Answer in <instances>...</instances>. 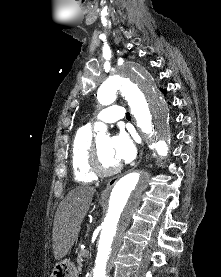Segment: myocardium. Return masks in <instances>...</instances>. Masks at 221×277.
I'll return each instance as SVG.
<instances>
[{
	"label": "myocardium",
	"instance_id": "myocardium-1",
	"mask_svg": "<svg viewBox=\"0 0 221 277\" xmlns=\"http://www.w3.org/2000/svg\"><path fill=\"white\" fill-rule=\"evenodd\" d=\"M89 167L94 175L100 176V177H106V176H112L118 173L121 170L122 165L118 163L113 168H110V169L104 168L101 164L97 142L93 141L90 149V154H89Z\"/></svg>",
	"mask_w": 221,
	"mask_h": 277
}]
</instances>
